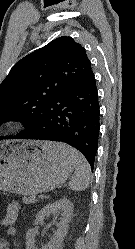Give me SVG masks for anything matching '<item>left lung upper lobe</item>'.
<instances>
[{
	"mask_svg": "<svg viewBox=\"0 0 135 249\" xmlns=\"http://www.w3.org/2000/svg\"><path fill=\"white\" fill-rule=\"evenodd\" d=\"M90 71L84 47L71 37H59L25 56L0 84V124L21 121L27 130L12 138L35 130L48 107Z\"/></svg>",
	"mask_w": 135,
	"mask_h": 249,
	"instance_id": "1",
	"label": "left lung upper lobe"
}]
</instances>
